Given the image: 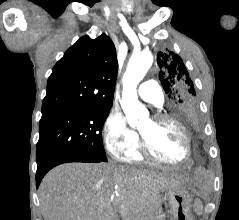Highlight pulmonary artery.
Instances as JSON below:
<instances>
[{
    "instance_id": "obj_1",
    "label": "pulmonary artery",
    "mask_w": 239,
    "mask_h": 220,
    "mask_svg": "<svg viewBox=\"0 0 239 220\" xmlns=\"http://www.w3.org/2000/svg\"><path fill=\"white\" fill-rule=\"evenodd\" d=\"M139 97L156 107H161L164 102L162 88L155 80H148L142 83L138 88Z\"/></svg>"
}]
</instances>
